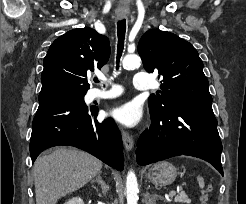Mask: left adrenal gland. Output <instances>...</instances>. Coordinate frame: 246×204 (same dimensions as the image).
<instances>
[{"mask_svg":"<svg viewBox=\"0 0 246 204\" xmlns=\"http://www.w3.org/2000/svg\"><path fill=\"white\" fill-rule=\"evenodd\" d=\"M158 198H161V196L159 195H153V196H149V193H146V196H145V202L146 204H153V202L155 201V199H158Z\"/></svg>","mask_w":246,"mask_h":204,"instance_id":"a2214340","label":"left adrenal gland"}]
</instances>
